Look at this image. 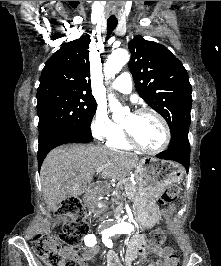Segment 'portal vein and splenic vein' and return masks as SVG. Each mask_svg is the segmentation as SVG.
I'll return each instance as SVG.
<instances>
[{
	"mask_svg": "<svg viewBox=\"0 0 221 266\" xmlns=\"http://www.w3.org/2000/svg\"><path fill=\"white\" fill-rule=\"evenodd\" d=\"M103 169H104V167H98V168H96V172L100 173L103 171Z\"/></svg>",
	"mask_w": 221,
	"mask_h": 266,
	"instance_id": "18ae733b",
	"label": "portal vein and splenic vein"
}]
</instances>
